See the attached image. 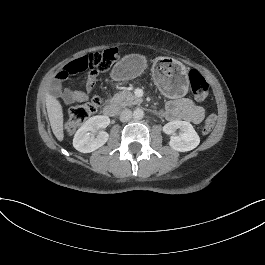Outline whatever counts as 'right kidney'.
I'll return each instance as SVG.
<instances>
[{"label":"right kidney","instance_id":"1","mask_svg":"<svg viewBox=\"0 0 265 265\" xmlns=\"http://www.w3.org/2000/svg\"><path fill=\"white\" fill-rule=\"evenodd\" d=\"M110 124L108 116H93L89 118L83 126H81L74 135L73 146L76 150L82 153L93 152L103 146L109 134L105 131H100L101 128H106Z\"/></svg>","mask_w":265,"mask_h":265}]
</instances>
